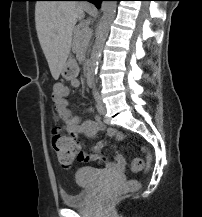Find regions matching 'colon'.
<instances>
[{
    "instance_id": "obj_1",
    "label": "colon",
    "mask_w": 202,
    "mask_h": 217,
    "mask_svg": "<svg viewBox=\"0 0 202 217\" xmlns=\"http://www.w3.org/2000/svg\"><path fill=\"white\" fill-rule=\"evenodd\" d=\"M51 147L54 155L62 167L69 168L72 166L75 160H81L86 152L78 147L73 139L65 134H62L58 130H53L51 133ZM148 157V164L145 166L141 158H134L131 162V169L133 172H139L145 170L149 172L151 155L147 149H145ZM139 188V182L131 180L123 186V189L137 190ZM117 197V193L108 195L105 198L107 204H111Z\"/></svg>"
}]
</instances>
